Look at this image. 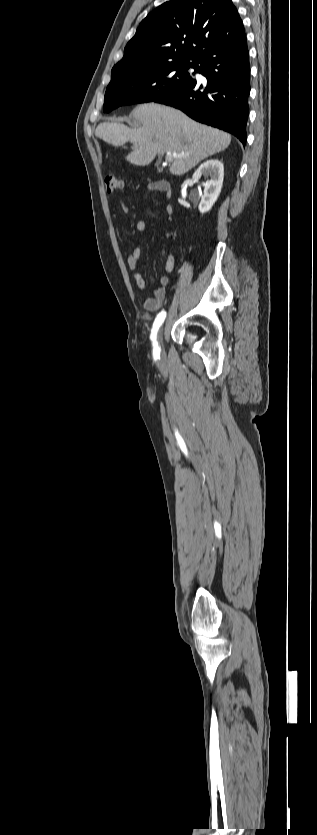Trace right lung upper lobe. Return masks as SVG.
<instances>
[{
    "instance_id": "right-lung-upper-lobe-1",
    "label": "right lung upper lobe",
    "mask_w": 317,
    "mask_h": 835,
    "mask_svg": "<svg viewBox=\"0 0 317 835\" xmlns=\"http://www.w3.org/2000/svg\"><path fill=\"white\" fill-rule=\"evenodd\" d=\"M244 38L242 20L231 0H172L142 20L112 72L195 62Z\"/></svg>"
}]
</instances>
